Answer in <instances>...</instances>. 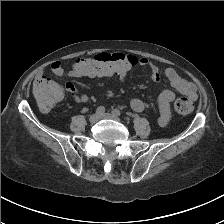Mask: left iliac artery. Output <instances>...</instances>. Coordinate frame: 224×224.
I'll list each match as a JSON object with an SVG mask.
<instances>
[{"label": "left iliac artery", "mask_w": 224, "mask_h": 224, "mask_svg": "<svg viewBox=\"0 0 224 224\" xmlns=\"http://www.w3.org/2000/svg\"><path fill=\"white\" fill-rule=\"evenodd\" d=\"M112 113H113L114 115H116V116H120V115H121V112H120V110H118V109H114V110L112 111Z\"/></svg>", "instance_id": "1"}]
</instances>
